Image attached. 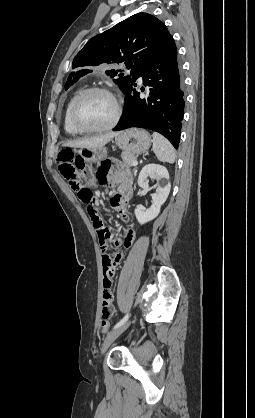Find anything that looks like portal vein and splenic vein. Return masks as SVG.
Returning a JSON list of instances; mask_svg holds the SVG:
<instances>
[{
    "mask_svg": "<svg viewBox=\"0 0 255 418\" xmlns=\"http://www.w3.org/2000/svg\"><path fill=\"white\" fill-rule=\"evenodd\" d=\"M137 165H138V161L137 160H135V161L132 162V166H137Z\"/></svg>",
    "mask_w": 255,
    "mask_h": 418,
    "instance_id": "1",
    "label": "portal vein and splenic vein"
}]
</instances>
